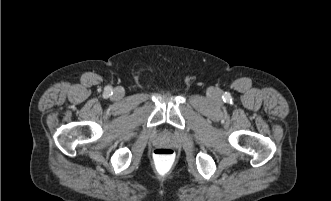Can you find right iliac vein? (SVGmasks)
<instances>
[{
	"instance_id": "63e3f726",
	"label": "right iliac vein",
	"mask_w": 331,
	"mask_h": 201,
	"mask_svg": "<svg viewBox=\"0 0 331 201\" xmlns=\"http://www.w3.org/2000/svg\"><path fill=\"white\" fill-rule=\"evenodd\" d=\"M123 95H124V91H123V89L122 88H116L115 90H114V96L116 97V98H122L123 97Z\"/></svg>"
}]
</instances>
